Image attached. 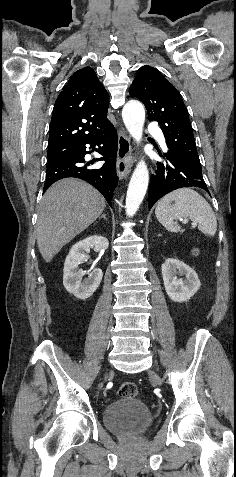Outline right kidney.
<instances>
[{
    "label": "right kidney",
    "mask_w": 236,
    "mask_h": 477,
    "mask_svg": "<svg viewBox=\"0 0 236 477\" xmlns=\"http://www.w3.org/2000/svg\"><path fill=\"white\" fill-rule=\"evenodd\" d=\"M108 246V240L102 236H91L72 246L63 270V284L69 293L81 300L93 295L102 280V270L97 268L87 272L88 278L82 280L85 272L79 270V265L87 258L90 248H94L96 252H104Z\"/></svg>",
    "instance_id": "obj_1"
}]
</instances>
